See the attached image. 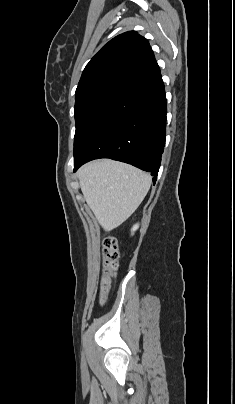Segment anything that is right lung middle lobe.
Returning <instances> with one entry per match:
<instances>
[{
  "mask_svg": "<svg viewBox=\"0 0 235 404\" xmlns=\"http://www.w3.org/2000/svg\"><path fill=\"white\" fill-rule=\"evenodd\" d=\"M127 86L125 82H105L76 92L74 152L101 117L119 100Z\"/></svg>",
  "mask_w": 235,
  "mask_h": 404,
  "instance_id": "1",
  "label": "right lung middle lobe"
}]
</instances>
